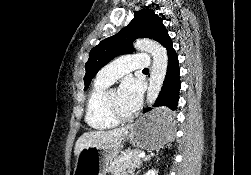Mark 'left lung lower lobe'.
<instances>
[{"label": "left lung lower lobe", "mask_w": 251, "mask_h": 175, "mask_svg": "<svg viewBox=\"0 0 251 175\" xmlns=\"http://www.w3.org/2000/svg\"><path fill=\"white\" fill-rule=\"evenodd\" d=\"M160 43L167 50L168 67L161 92L153 105L156 109L148 108L144 111L146 113L153 110L148 117V122L152 125H167L176 120V114L173 111L177 109L181 85L178 56L168 33L164 35Z\"/></svg>", "instance_id": "obj_1"}]
</instances>
